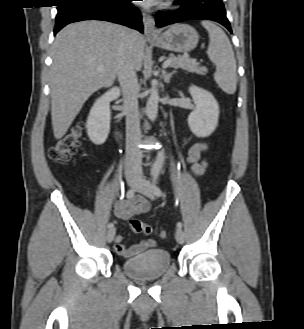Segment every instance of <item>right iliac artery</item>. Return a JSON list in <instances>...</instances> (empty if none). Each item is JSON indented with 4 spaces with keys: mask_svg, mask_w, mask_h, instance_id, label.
<instances>
[{
    "mask_svg": "<svg viewBox=\"0 0 304 329\" xmlns=\"http://www.w3.org/2000/svg\"><path fill=\"white\" fill-rule=\"evenodd\" d=\"M135 192H136V188L129 189L127 194H126L127 198H129V199L132 198L134 196ZM113 227H114L113 223L108 224L109 229H111Z\"/></svg>",
    "mask_w": 304,
    "mask_h": 329,
    "instance_id": "82829eb1",
    "label": "right iliac artery"
}]
</instances>
